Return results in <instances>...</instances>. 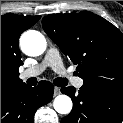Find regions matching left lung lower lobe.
I'll return each instance as SVG.
<instances>
[{"label": "left lung lower lobe", "mask_w": 123, "mask_h": 123, "mask_svg": "<svg viewBox=\"0 0 123 123\" xmlns=\"http://www.w3.org/2000/svg\"><path fill=\"white\" fill-rule=\"evenodd\" d=\"M73 101L71 113L61 123H122L123 93L83 84L78 93L74 87L62 88Z\"/></svg>", "instance_id": "obj_1"}]
</instances>
